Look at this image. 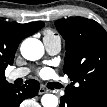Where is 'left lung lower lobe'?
<instances>
[{
  "mask_svg": "<svg viewBox=\"0 0 107 107\" xmlns=\"http://www.w3.org/2000/svg\"><path fill=\"white\" fill-rule=\"evenodd\" d=\"M59 107H107V90L97 89L90 94H80L73 87H67Z\"/></svg>",
  "mask_w": 107,
  "mask_h": 107,
  "instance_id": "obj_1",
  "label": "left lung lower lobe"
}]
</instances>
